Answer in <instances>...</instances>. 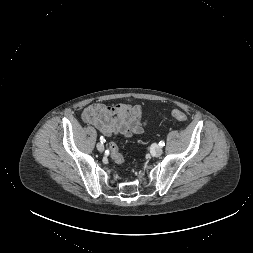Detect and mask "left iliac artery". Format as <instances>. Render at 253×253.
Returning a JSON list of instances; mask_svg holds the SVG:
<instances>
[{
	"label": "left iliac artery",
	"mask_w": 253,
	"mask_h": 253,
	"mask_svg": "<svg viewBox=\"0 0 253 253\" xmlns=\"http://www.w3.org/2000/svg\"><path fill=\"white\" fill-rule=\"evenodd\" d=\"M159 145H160V146H164V145H165V142H164V141H160V142H159Z\"/></svg>",
	"instance_id": "obj_1"
}]
</instances>
